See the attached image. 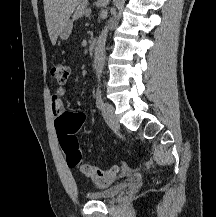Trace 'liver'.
<instances>
[{"mask_svg":"<svg viewBox=\"0 0 216 217\" xmlns=\"http://www.w3.org/2000/svg\"><path fill=\"white\" fill-rule=\"evenodd\" d=\"M82 0H43L47 31L53 45L63 25Z\"/></svg>","mask_w":216,"mask_h":217,"instance_id":"1","label":"liver"}]
</instances>
